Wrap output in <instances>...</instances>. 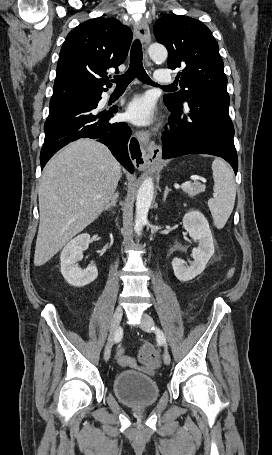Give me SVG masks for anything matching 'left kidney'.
Here are the masks:
<instances>
[{
	"mask_svg": "<svg viewBox=\"0 0 272 455\" xmlns=\"http://www.w3.org/2000/svg\"><path fill=\"white\" fill-rule=\"evenodd\" d=\"M183 226L198 247L192 251L194 261L185 266L180 258H174L172 267L176 278L186 282L201 274L211 256L214 254V244L211 230L205 216L198 210H191L183 217Z\"/></svg>",
	"mask_w": 272,
	"mask_h": 455,
	"instance_id": "left-kidney-1",
	"label": "left kidney"
}]
</instances>
